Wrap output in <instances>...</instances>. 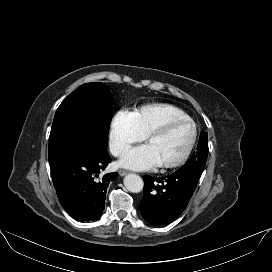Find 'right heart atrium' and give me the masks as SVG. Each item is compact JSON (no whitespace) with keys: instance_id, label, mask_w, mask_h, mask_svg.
I'll return each mask as SVG.
<instances>
[{"instance_id":"d8ad5b80","label":"right heart atrium","mask_w":272,"mask_h":272,"mask_svg":"<svg viewBox=\"0 0 272 272\" xmlns=\"http://www.w3.org/2000/svg\"><path fill=\"white\" fill-rule=\"evenodd\" d=\"M143 138L144 135L138 130L132 112L119 109L114 113L109 129V145L113 155H122L131 144Z\"/></svg>"}]
</instances>
